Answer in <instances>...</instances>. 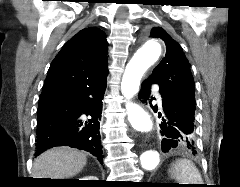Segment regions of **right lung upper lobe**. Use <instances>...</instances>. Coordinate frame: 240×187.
I'll use <instances>...</instances> for the list:
<instances>
[{
    "label": "right lung upper lobe",
    "instance_id": "right-lung-upper-lobe-1",
    "mask_svg": "<svg viewBox=\"0 0 240 187\" xmlns=\"http://www.w3.org/2000/svg\"><path fill=\"white\" fill-rule=\"evenodd\" d=\"M107 40L95 27L73 36L52 61L40 97L78 88L87 82L107 77Z\"/></svg>",
    "mask_w": 240,
    "mask_h": 187
}]
</instances>
